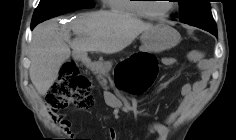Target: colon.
<instances>
[{
	"label": "colon",
	"mask_w": 236,
	"mask_h": 140,
	"mask_svg": "<svg viewBox=\"0 0 236 140\" xmlns=\"http://www.w3.org/2000/svg\"><path fill=\"white\" fill-rule=\"evenodd\" d=\"M157 72L158 64L153 57L137 55L122 61L115 76L123 90L138 95L152 85ZM90 88L91 84L81 74L79 64L76 61L65 63L48 93L51 113L55 114L71 104L81 109H89L94 103Z\"/></svg>",
	"instance_id": "1"
}]
</instances>
